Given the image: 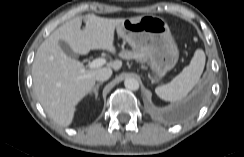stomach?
I'll return each mask as SVG.
<instances>
[{"mask_svg":"<svg viewBox=\"0 0 244 157\" xmlns=\"http://www.w3.org/2000/svg\"><path fill=\"white\" fill-rule=\"evenodd\" d=\"M117 33L134 51L145 54L154 74L153 82L176 65L179 50L163 18L152 15L127 18L117 27Z\"/></svg>","mask_w":244,"mask_h":157,"instance_id":"1","label":"stomach"}]
</instances>
